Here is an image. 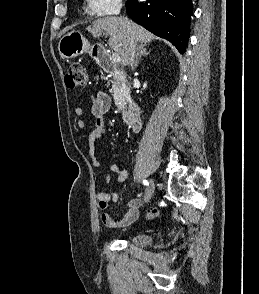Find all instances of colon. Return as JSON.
Listing matches in <instances>:
<instances>
[{
  "instance_id": "5ec220e1",
  "label": "colon",
  "mask_w": 259,
  "mask_h": 294,
  "mask_svg": "<svg viewBox=\"0 0 259 294\" xmlns=\"http://www.w3.org/2000/svg\"><path fill=\"white\" fill-rule=\"evenodd\" d=\"M65 83L69 89L82 88L87 83V77L83 66L80 63L74 62L69 66L65 76ZM161 214L159 208H151L147 212V219L154 220Z\"/></svg>"
}]
</instances>
